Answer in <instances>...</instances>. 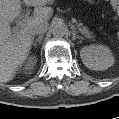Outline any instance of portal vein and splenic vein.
Instances as JSON below:
<instances>
[{
	"label": "portal vein and splenic vein",
	"instance_id": "1",
	"mask_svg": "<svg viewBox=\"0 0 119 119\" xmlns=\"http://www.w3.org/2000/svg\"><path fill=\"white\" fill-rule=\"evenodd\" d=\"M29 22H30V17L28 14H26L24 19L18 25L20 28H22L23 26H25Z\"/></svg>",
	"mask_w": 119,
	"mask_h": 119
}]
</instances>
